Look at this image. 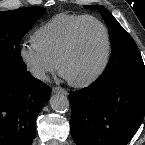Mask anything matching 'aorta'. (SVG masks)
I'll return each instance as SVG.
<instances>
[{"label": "aorta", "instance_id": "1", "mask_svg": "<svg viewBox=\"0 0 145 145\" xmlns=\"http://www.w3.org/2000/svg\"><path fill=\"white\" fill-rule=\"evenodd\" d=\"M50 105L55 112L65 113L70 108V102L66 95L58 93L50 98Z\"/></svg>", "mask_w": 145, "mask_h": 145}]
</instances>
